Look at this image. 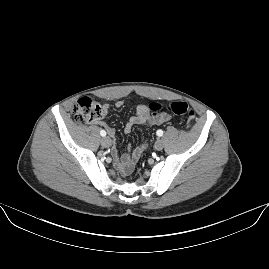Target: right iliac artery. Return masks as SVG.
Returning a JSON list of instances; mask_svg holds the SVG:
<instances>
[{"label":"right iliac artery","instance_id":"82829eb1","mask_svg":"<svg viewBox=\"0 0 269 269\" xmlns=\"http://www.w3.org/2000/svg\"><path fill=\"white\" fill-rule=\"evenodd\" d=\"M100 135L104 137V136H106V132L104 130H101Z\"/></svg>","mask_w":269,"mask_h":269}]
</instances>
